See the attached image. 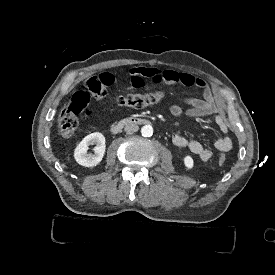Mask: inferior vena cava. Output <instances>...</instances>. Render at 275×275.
Listing matches in <instances>:
<instances>
[{
  "instance_id": "inferior-vena-cava-1",
  "label": "inferior vena cava",
  "mask_w": 275,
  "mask_h": 275,
  "mask_svg": "<svg viewBox=\"0 0 275 275\" xmlns=\"http://www.w3.org/2000/svg\"><path fill=\"white\" fill-rule=\"evenodd\" d=\"M124 130L125 132L131 134V133L137 132L139 130V126L136 124H128L125 126Z\"/></svg>"
}]
</instances>
